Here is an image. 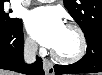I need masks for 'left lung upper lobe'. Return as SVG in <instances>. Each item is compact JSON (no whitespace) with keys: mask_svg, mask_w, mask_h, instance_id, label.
<instances>
[{"mask_svg":"<svg viewBox=\"0 0 102 75\" xmlns=\"http://www.w3.org/2000/svg\"><path fill=\"white\" fill-rule=\"evenodd\" d=\"M64 5L85 35L102 30L101 0H64Z\"/></svg>","mask_w":102,"mask_h":75,"instance_id":"obj_1","label":"left lung upper lobe"}]
</instances>
